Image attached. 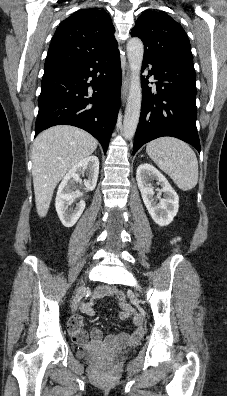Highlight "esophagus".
<instances>
[{
  "mask_svg": "<svg viewBox=\"0 0 227 396\" xmlns=\"http://www.w3.org/2000/svg\"><path fill=\"white\" fill-rule=\"evenodd\" d=\"M129 84H130V70L127 67L126 68V75L122 84V90H121V97L123 103H125L127 95H128V90H129Z\"/></svg>",
  "mask_w": 227,
  "mask_h": 396,
  "instance_id": "esophagus-1",
  "label": "esophagus"
}]
</instances>
